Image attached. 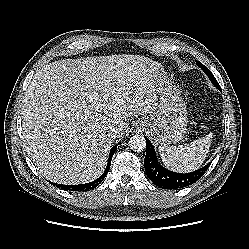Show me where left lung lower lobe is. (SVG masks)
I'll return each mask as SVG.
<instances>
[{"instance_id":"obj_1","label":"left lung lower lobe","mask_w":249,"mask_h":249,"mask_svg":"<svg viewBox=\"0 0 249 249\" xmlns=\"http://www.w3.org/2000/svg\"><path fill=\"white\" fill-rule=\"evenodd\" d=\"M146 139V156L144 167L149 179L162 189H180L195 183L205 173L211 163L190 173H175L160 165L157 160L155 149Z\"/></svg>"}]
</instances>
